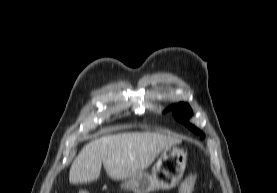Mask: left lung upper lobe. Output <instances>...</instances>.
<instances>
[{
  "label": "left lung upper lobe",
  "instance_id": "1",
  "mask_svg": "<svg viewBox=\"0 0 277 193\" xmlns=\"http://www.w3.org/2000/svg\"><path fill=\"white\" fill-rule=\"evenodd\" d=\"M171 108L173 109V114L177 119L184 122V124L187 125L188 128L192 129L194 133L200 134L201 138L204 137V134L202 131H200L195 126L187 122V119L192 115V110L188 104L178 103L176 105L171 106Z\"/></svg>",
  "mask_w": 277,
  "mask_h": 193
}]
</instances>
